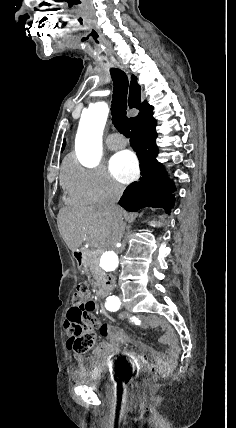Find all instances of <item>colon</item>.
Masks as SVG:
<instances>
[{
	"instance_id": "obj_1",
	"label": "colon",
	"mask_w": 236,
	"mask_h": 428,
	"mask_svg": "<svg viewBox=\"0 0 236 428\" xmlns=\"http://www.w3.org/2000/svg\"><path fill=\"white\" fill-rule=\"evenodd\" d=\"M94 303L88 297V287L80 283L73 295V306L67 312L65 330L67 345L77 353L90 351L95 344V334L91 329L90 312ZM156 383L155 377H145L140 384L144 390H151Z\"/></svg>"
}]
</instances>
